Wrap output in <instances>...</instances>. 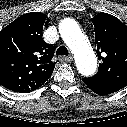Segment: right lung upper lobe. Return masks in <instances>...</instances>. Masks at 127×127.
Returning <instances> with one entry per match:
<instances>
[{
  "label": "right lung upper lobe",
  "instance_id": "1",
  "mask_svg": "<svg viewBox=\"0 0 127 127\" xmlns=\"http://www.w3.org/2000/svg\"><path fill=\"white\" fill-rule=\"evenodd\" d=\"M49 22L39 12L23 14L0 32V84L16 92H30L51 76L54 46L42 39Z\"/></svg>",
  "mask_w": 127,
  "mask_h": 127
}]
</instances>
